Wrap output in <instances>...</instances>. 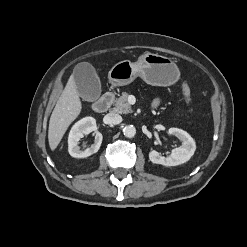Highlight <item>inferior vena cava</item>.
Segmentation results:
<instances>
[{
    "mask_svg": "<svg viewBox=\"0 0 247 247\" xmlns=\"http://www.w3.org/2000/svg\"><path fill=\"white\" fill-rule=\"evenodd\" d=\"M104 121L107 124H119L122 122V117L117 113L110 112L105 115Z\"/></svg>",
    "mask_w": 247,
    "mask_h": 247,
    "instance_id": "inferior-vena-cava-1",
    "label": "inferior vena cava"
}]
</instances>
